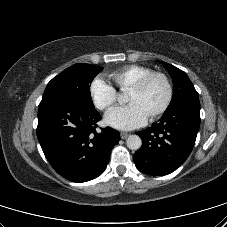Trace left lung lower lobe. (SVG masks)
Listing matches in <instances>:
<instances>
[{
	"label": "left lung lower lobe",
	"instance_id": "0a47b994",
	"mask_svg": "<svg viewBox=\"0 0 227 227\" xmlns=\"http://www.w3.org/2000/svg\"><path fill=\"white\" fill-rule=\"evenodd\" d=\"M199 126V98L185 99L165 111L158 123L136 133L143 142L133 155L136 167L154 176L172 173L191 153Z\"/></svg>",
	"mask_w": 227,
	"mask_h": 227
}]
</instances>
